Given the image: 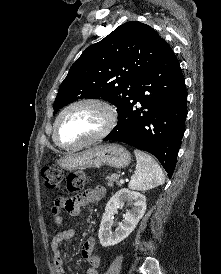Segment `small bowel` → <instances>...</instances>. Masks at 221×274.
<instances>
[{"label":"small bowel","mask_w":221,"mask_h":274,"mask_svg":"<svg viewBox=\"0 0 221 274\" xmlns=\"http://www.w3.org/2000/svg\"><path fill=\"white\" fill-rule=\"evenodd\" d=\"M105 189L97 187L88 189L76 197H58L54 200L51 212L54 217V225L57 228L51 241V250L53 253V262L57 274H65L61 246L75 235V229L63 228L64 217L63 210L74 217L81 215L82 208L85 205L95 204L105 196ZM95 240L88 238L82 246V257L88 264L87 274H98V267L101 259L94 253Z\"/></svg>","instance_id":"1"}]
</instances>
